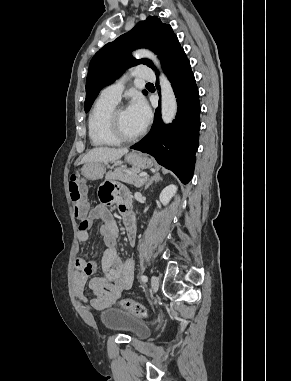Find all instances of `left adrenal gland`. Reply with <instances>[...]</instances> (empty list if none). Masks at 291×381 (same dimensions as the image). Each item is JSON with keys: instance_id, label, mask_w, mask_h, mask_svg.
Masks as SVG:
<instances>
[{"instance_id": "a2214340", "label": "left adrenal gland", "mask_w": 291, "mask_h": 381, "mask_svg": "<svg viewBox=\"0 0 291 381\" xmlns=\"http://www.w3.org/2000/svg\"><path fill=\"white\" fill-rule=\"evenodd\" d=\"M158 181H162V177L160 176L159 173H155L150 179H148V181L145 183V190L149 188V186L153 183V182H158Z\"/></svg>"}]
</instances>
